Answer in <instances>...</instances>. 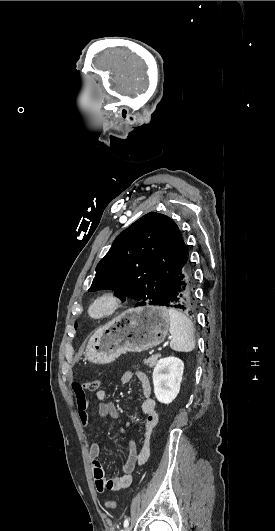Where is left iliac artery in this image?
<instances>
[{"instance_id": "44dca946", "label": "left iliac artery", "mask_w": 275, "mask_h": 531, "mask_svg": "<svg viewBox=\"0 0 275 531\" xmlns=\"http://www.w3.org/2000/svg\"><path fill=\"white\" fill-rule=\"evenodd\" d=\"M128 525H129V520H128V518H126V519L124 520V527L127 528Z\"/></svg>"}]
</instances>
